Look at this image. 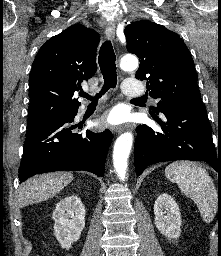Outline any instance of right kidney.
Listing matches in <instances>:
<instances>
[{"label":"right kidney","instance_id":"1","mask_svg":"<svg viewBox=\"0 0 221 256\" xmlns=\"http://www.w3.org/2000/svg\"><path fill=\"white\" fill-rule=\"evenodd\" d=\"M54 235L62 248L78 241L85 227V207L80 198L71 195L60 200L53 212Z\"/></svg>","mask_w":221,"mask_h":256}]
</instances>
